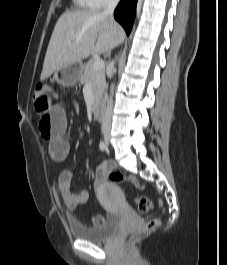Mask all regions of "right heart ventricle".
Wrapping results in <instances>:
<instances>
[{
  "label": "right heart ventricle",
  "mask_w": 227,
  "mask_h": 265,
  "mask_svg": "<svg viewBox=\"0 0 227 265\" xmlns=\"http://www.w3.org/2000/svg\"><path fill=\"white\" fill-rule=\"evenodd\" d=\"M75 6L79 9H93L95 8L92 0H73Z\"/></svg>",
  "instance_id": "e07e8e85"
}]
</instances>
